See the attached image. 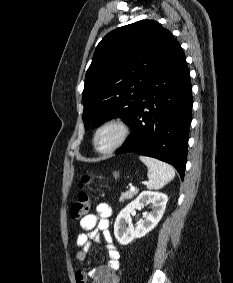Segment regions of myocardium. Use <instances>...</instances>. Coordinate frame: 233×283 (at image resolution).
Here are the masks:
<instances>
[{
    "label": "myocardium",
    "instance_id": "myocardium-1",
    "mask_svg": "<svg viewBox=\"0 0 233 283\" xmlns=\"http://www.w3.org/2000/svg\"><path fill=\"white\" fill-rule=\"evenodd\" d=\"M107 128H113L117 132L114 143L106 149H100L97 146V137L101 131ZM131 133L129 123L120 117H112L103 121L94 131L92 137V145L94 149L101 154H111L121 148L128 140Z\"/></svg>",
    "mask_w": 233,
    "mask_h": 283
}]
</instances>
